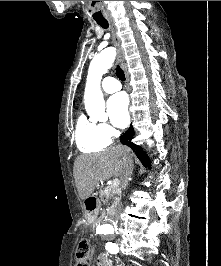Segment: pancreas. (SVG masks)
Here are the masks:
<instances>
[{"instance_id": "pancreas-1", "label": "pancreas", "mask_w": 221, "mask_h": 266, "mask_svg": "<svg viewBox=\"0 0 221 266\" xmlns=\"http://www.w3.org/2000/svg\"><path fill=\"white\" fill-rule=\"evenodd\" d=\"M120 190L118 187H105L104 189H100L99 196L101 201L104 203L110 204L109 201L111 200L112 205L111 208H114L116 203L118 202V195Z\"/></svg>"}]
</instances>
